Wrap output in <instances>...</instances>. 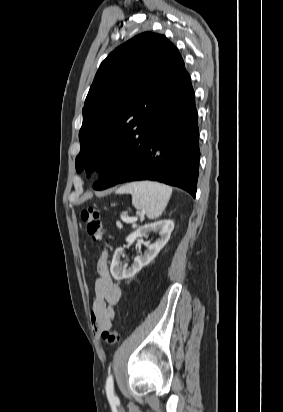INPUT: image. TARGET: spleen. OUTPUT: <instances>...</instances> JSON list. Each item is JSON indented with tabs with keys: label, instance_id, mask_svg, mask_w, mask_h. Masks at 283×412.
<instances>
[{
	"label": "spleen",
	"instance_id": "spleen-1",
	"mask_svg": "<svg viewBox=\"0 0 283 412\" xmlns=\"http://www.w3.org/2000/svg\"><path fill=\"white\" fill-rule=\"evenodd\" d=\"M116 194H131L132 204L137 210H145L149 219H157L165 210L172 188L152 181L131 182L121 186Z\"/></svg>",
	"mask_w": 283,
	"mask_h": 412
}]
</instances>
